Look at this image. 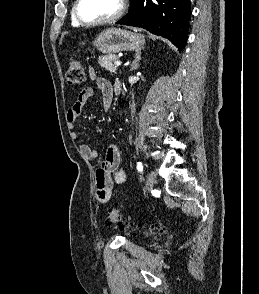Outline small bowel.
<instances>
[{"label":"small bowel","instance_id":"small-bowel-1","mask_svg":"<svg viewBox=\"0 0 259 294\" xmlns=\"http://www.w3.org/2000/svg\"><path fill=\"white\" fill-rule=\"evenodd\" d=\"M89 77L97 81V86L101 93L102 106L104 110H108L114 95L121 91V83L117 81L112 85L104 78L97 79L93 69L89 70ZM93 94L94 91L91 87H85L81 90L67 113V120L70 124H74L77 121L82 109ZM72 138H77L76 132H72ZM80 149L91 161H95L96 152L89 145L81 144ZM120 162V148L116 144H111L107 149L105 159L96 170V196L100 203L104 204L110 200L114 183L122 184L127 179L125 171L120 168Z\"/></svg>","mask_w":259,"mask_h":294}]
</instances>
